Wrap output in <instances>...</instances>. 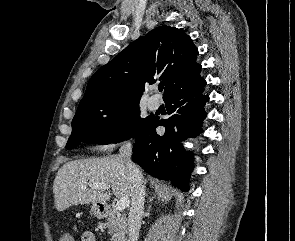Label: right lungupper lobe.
<instances>
[{"label":"right lung upper lobe","instance_id":"right-lung-upper-lobe-1","mask_svg":"<svg viewBox=\"0 0 295 241\" xmlns=\"http://www.w3.org/2000/svg\"><path fill=\"white\" fill-rule=\"evenodd\" d=\"M197 55V48L183 31L157 27L132 42L91 77L79 106L113 99L139 102L145 84L156 80L165 86V99L203 80Z\"/></svg>","mask_w":295,"mask_h":241}]
</instances>
